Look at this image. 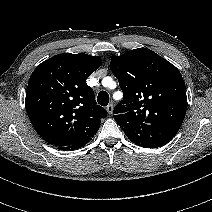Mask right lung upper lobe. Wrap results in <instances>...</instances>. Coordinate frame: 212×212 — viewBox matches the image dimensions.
<instances>
[{"label":"right lung upper lobe","instance_id":"1","mask_svg":"<svg viewBox=\"0 0 212 212\" xmlns=\"http://www.w3.org/2000/svg\"><path fill=\"white\" fill-rule=\"evenodd\" d=\"M101 58L84 53L55 55L32 73L25 105L37 133L60 147L90 141L107 116L96 104L86 79L101 65Z\"/></svg>","mask_w":212,"mask_h":212}]
</instances>
